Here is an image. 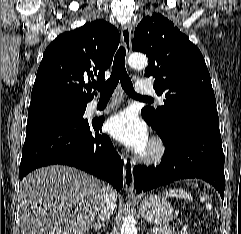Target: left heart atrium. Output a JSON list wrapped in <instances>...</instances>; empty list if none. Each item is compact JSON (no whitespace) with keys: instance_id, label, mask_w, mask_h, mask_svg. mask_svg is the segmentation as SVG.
<instances>
[{"instance_id":"obj_1","label":"left heart atrium","mask_w":241,"mask_h":234,"mask_svg":"<svg viewBox=\"0 0 241 234\" xmlns=\"http://www.w3.org/2000/svg\"><path fill=\"white\" fill-rule=\"evenodd\" d=\"M107 130L115 140L136 152H143L149 144L147 126L132 110L126 109L110 117Z\"/></svg>"}]
</instances>
